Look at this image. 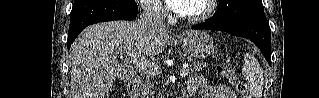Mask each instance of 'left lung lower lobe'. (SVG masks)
Listing matches in <instances>:
<instances>
[{
  "label": "left lung lower lobe",
  "instance_id": "1",
  "mask_svg": "<svg viewBox=\"0 0 319 98\" xmlns=\"http://www.w3.org/2000/svg\"><path fill=\"white\" fill-rule=\"evenodd\" d=\"M192 28L219 30L235 36L250 39L257 47L260 48L262 54L271 65V30L264 11H258L241 19L227 23H201L192 26Z\"/></svg>",
  "mask_w": 319,
  "mask_h": 98
}]
</instances>
